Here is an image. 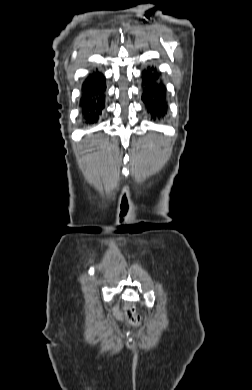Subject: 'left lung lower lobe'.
<instances>
[{
    "label": "left lung lower lobe",
    "instance_id": "left-lung-lower-lobe-1",
    "mask_svg": "<svg viewBox=\"0 0 252 390\" xmlns=\"http://www.w3.org/2000/svg\"><path fill=\"white\" fill-rule=\"evenodd\" d=\"M166 87L156 68L147 67L142 72V101L146 112L154 120L166 115Z\"/></svg>",
    "mask_w": 252,
    "mask_h": 390
}]
</instances>
